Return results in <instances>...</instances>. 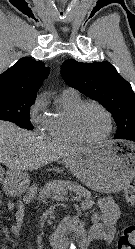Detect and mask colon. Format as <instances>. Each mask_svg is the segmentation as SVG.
Instances as JSON below:
<instances>
[{
	"instance_id": "obj_1",
	"label": "colon",
	"mask_w": 135,
	"mask_h": 249,
	"mask_svg": "<svg viewBox=\"0 0 135 249\" xmlns=\"http://www.w3.org/2000/svg\"><path fill=\"white\" fill-rule=\"evenodd\" d=\"M124 195L127 203L135 207V182L126 187ZM117 249H135V225L123 230L117 241Z\"/></svg>"
}]
</instances>
